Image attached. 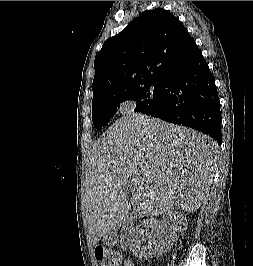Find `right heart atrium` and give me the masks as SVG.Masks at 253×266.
<instances>
[{"label": "right heart atrium", "mask_w": 253, "mask_h": 266, "mask_svg": "<svg viewBox=\"0 0 253 266\" xmlns=\"http://www.w3.org/2000/svg\"><path fill=\"white\" fill-rule=\"evenodd\" d=\"M137 105V102L134 99L126 98L122 100L119 104V112L128 113L133 111Z\"/></svg>", "instance_id": "d8ad5b80"}]
</instances>
